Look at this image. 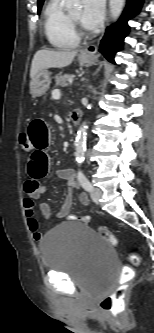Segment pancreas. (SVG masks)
<instances>
[{"mask_svg": "<svg viewBox=\"0 0 154 333\" xmlns=\"http://www.w3.org/2000/svg\"><path fill=\"white\" fill-rule=\"evenodd\" d=\"M74 77H75L74 75H69V74L57 76L55 78L56 86L64 87L67 85V81L72 80Z\"/></svg>", "mask_w": 154, "mask_h": 333, "instance_id": "pancreas-1", "label": "pancreas"}]
</instances>
